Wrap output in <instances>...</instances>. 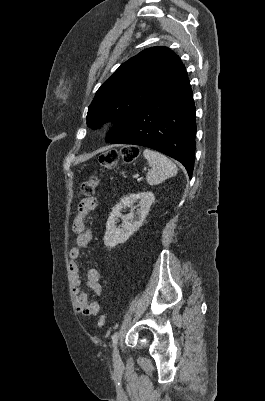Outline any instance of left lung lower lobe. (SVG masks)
<instances>
[{
  "mask_svg": "<svg viewBox=\"0 0 265 401\" xmlns=\"http://www.w3.org/2000/svg\"><path fill=\"white\" fill-rule=\"evenodd\" d=\"M195 135V105L185 70L110 143L140 145L162 152L181 162L191 178Z\"/></svg>",
  "mask_w": 265,
  "mask_h": 401,
  "instance_id": "1",
  "label": "left lung lower lobe"
}]
</instances>
